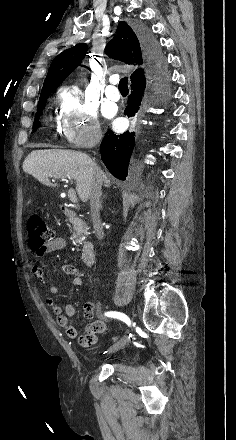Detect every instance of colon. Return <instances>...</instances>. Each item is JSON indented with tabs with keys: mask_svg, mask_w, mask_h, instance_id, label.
<instances>
[{
	"mask_svg": "<svg viewBox=\"0 0 236 440\" xmlns=\"http://www.w3.org/2000/svg\"><path fill=\"white\" fill-rule=\"evenodd\" d=\"M28 244L31 249L38 250L54 238V231L43 218L32 214L27 220Z\"/></svg>",
	"mask_w": 236,
	"mask_h": 440,
	"instance_id": "obj_1",
	"label": "colon"
}]
</instances>
